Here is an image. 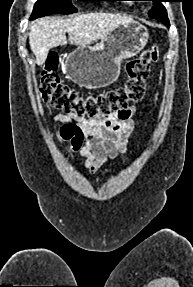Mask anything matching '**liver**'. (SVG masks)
Masks as SVG:
<instances>
[{"instance_id":"liver-1","label":"liver","mask_w":193,"mask_h":287,"mask_svg":"<svg viewBox=\"0 0 193 287\" xmlns=\"http://www.w3.org/2000/svg\"><path fill=\"white\" fill-rule=\"evenodd\" d=\"M126 16L110 13H87L69 19L42 18L30 26L29 45L36 64L45 63L49 50L66 45L86 46L102 40L121 24L131 22Z\"/></svg>"}]
</instances>
